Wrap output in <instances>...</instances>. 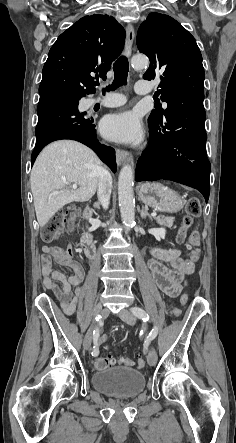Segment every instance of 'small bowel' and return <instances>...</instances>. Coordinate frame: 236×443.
I'll return each mask as SVG.
<instances>
[{
	"mask_svg": "<svg viewBox=\"0 0 236 443\" xmlns=\"http://www.w3.org/2000/svg\"><path fill=\"white\" fill-rule=\"evenodd\" d=\"M153 256L155 258L149 261V268L156 286L169 297L181 295L184 302L186 295L182 294L183 283L193 274V263L181 258L176 248H155ZM53 261L71 269L73 275L66 277L62 272L54 270ZM41 262L45 287L55 295L65 313L72 314L82 293L84 269L75 260L71 249L63 250L57 246H45Z\"/></svg>",
	"mask_w": 236,
	"mask_h": 443,
	"instance_id": "c3829d8e",
	"label": "small bowel"
}]
</instances>
